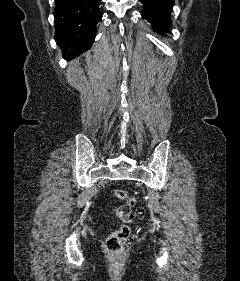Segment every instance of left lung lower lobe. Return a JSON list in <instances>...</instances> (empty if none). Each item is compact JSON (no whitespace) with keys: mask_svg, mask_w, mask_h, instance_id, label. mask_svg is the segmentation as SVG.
Segmentation results:
<instances>
[{"mask_svg":"<svg viewBox=\"0 0 240 281\" xmlns=\"http://www.w3.org/2000/svg\"><path fill=\"white\" fill-rule=\"evenodd\" d=\"M143 4L141 15L152 24L158 33H165L170 26V12L174 0H140Z\"/></svg>","mask_w":240,"mask_h":281,"instance_id":"obj_1","label":"left lung lower lobe"}]
</instances>
